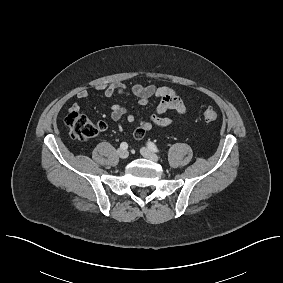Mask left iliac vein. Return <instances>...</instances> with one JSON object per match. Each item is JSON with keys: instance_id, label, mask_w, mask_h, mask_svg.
<instances>
[{"instance_id": "obj_1", "label": "left iliac vein", "mask_w": 283, "mask_h": 283, "mask_svg": "<svg viewBox=\"0 0 283 283\" xmlns=\"http://www.w3.org/2000/svg\"><path fill=\"white\" fill-rule=\"evenodd\" d=\"M141 154L143 157L150 159L152 161L157 162L159 160V157L154 154L153 152H151L148 148L142 147L140 150Z\"/></svg>"}]
</instances>
